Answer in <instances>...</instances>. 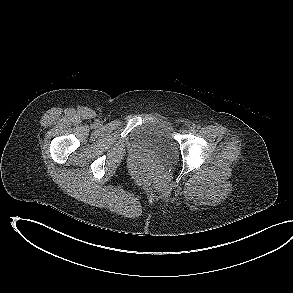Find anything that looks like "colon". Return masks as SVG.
Instances as JSON below:
<instances>
[{
	"mask_svg": "<svg viewBox=\"0 0 293 293\" xmlns=\"http://www.w3.org/2000/svg\"><path fill=\"white\" fill-rule=\"evenodd\" d=\"M138 181L142 184H148L153 178V170L146 166L137 171Z\"/></svg>",
	"mask_w": 293,
	"mask_h": 293,
	"instance_id": "colon-1",
	"label": "colon"
}]
</instances>
